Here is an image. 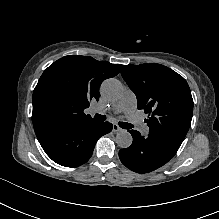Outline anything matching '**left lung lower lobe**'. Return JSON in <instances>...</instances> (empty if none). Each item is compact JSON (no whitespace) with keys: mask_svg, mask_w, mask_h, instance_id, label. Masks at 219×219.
I'll list each match as a JSON object with an SVG mask.
<instances>
[{"mask_svg":"<svg viewBox=\"0 0 219 219\" xmlns=\"http://www.w3.org/2000/svg\"><path fill=\"white\" fill-rule=\"evenodd\" d=\"M133 142L128 148L119 151L121 162L137 173H149L166 164L177 151L164 143L148 136H142L138 131H129Z\"/></svg>","mask_w":219,"mask_h":219,"instance_id":"1","label":"left lung lower lobe"}]
</instances>
